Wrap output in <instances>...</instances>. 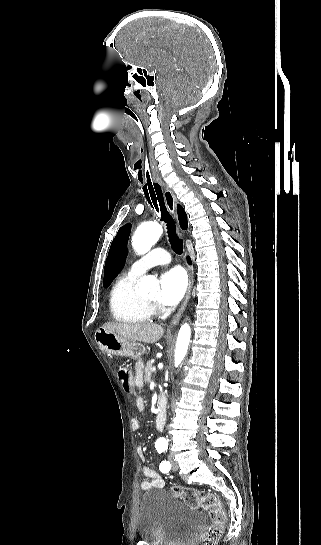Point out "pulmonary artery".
Wrapping results in <instances>:
<instances>
[{
	"mask_svg": "<svg viewBox=\"0 0 321 545\" xmlns=\"http://www.w3.org/2000/svg\"><path fill=\"white\" fill-rule=\"evenodd\" d=\"M167 257L166 250L162 248L149 249L146 254L131 264L129 272L137 276L142 275L152 266L168 264L171 259Z\"/></svg>",
	"mask_w": 321,
	"mask_h": 545,
	"instance_id": "obj_1",
	"label": "pulmonary artery"
}]
</instances>
